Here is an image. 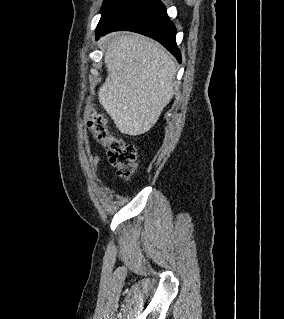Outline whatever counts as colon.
<instances>
[{"mask_svg": "<svg viewBox=\"0 0 284 319\" xmlns=\"http://www.w3.org/2000/svg\"><path fill=\"white\" fill-rule=\"evenodd\" d=\"M87 126L95 139L105 147L109 162L116 168L117 174L125 180L130 179L136 170L135 146L113 135L102 116L90 114L87 117Z\"/></svg>", "mask_w": 284, "mask_h": 319, "instance_id": "1", "label": "colon"}]
</instances>
